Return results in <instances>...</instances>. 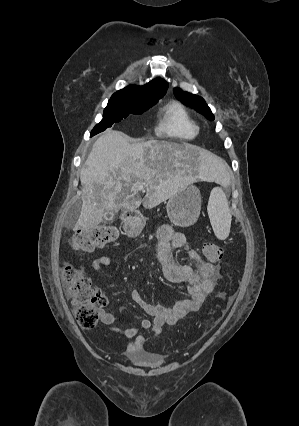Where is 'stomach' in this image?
Returning a JSON list of instances; mask_svg holds the SVG:
<instances>
[{"label":"stomach","mask_w":299,"mask_h":426,"mask_svg":"<svg viewBox=\"0 0 299 426\" xmlns=\"http://www.w3.org/2000/svg\"><path fill=\"white\" fill-rule=\"evenodd\" d=\"M201 194L194 185H187L178 189L168 200L167 214L172 224L180 227L193 225L200 215ZM132 234H136L139 228L129 224Z\"/></svg>","instance_id":"stomach-1"}]
</instances>
